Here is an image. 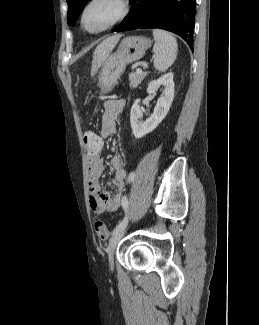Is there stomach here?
Instances as JSON below:
<instances>
[{
    "label": "stomach",
    "mask_w": 259,
    "mask_h": 325,
    "mask_svg": "<svg viewBox=\"0 0 259 325\" xmlns=\"http://www.w3.org/2000/svg\"><path fill=\"white\" fill-rule=\"evenodd\" d=\"M151 40L143 36L125 37L115 53L109 55L99 73V88L102 93L113 89L126 66L140 60L151 47Z\"/></svg>",
    "instance_id": "obj_1"
}]
</instances>
